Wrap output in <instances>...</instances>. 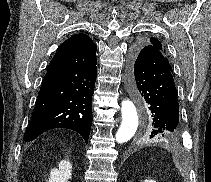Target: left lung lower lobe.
I'll use <instances>...</instances> for the list:
<instances>
[{
  "label": "left lung lower lobe",
  "mask_w": 211,
  "mask_h": 182,
  "mask_svg": "<svg viewBox=\"0 0 211 182\" xmlns=\"http://www.w3.org/2000/svg\"><path fill=\"white\" fill-rule=\"evenodd\" d=\"M128 87L149 107L147 138L175 141L181 134L177 90L165 56L139 40L132 48L128 67Z\"/></svg>",
  "instance_id": "1"
}]
</instances>
